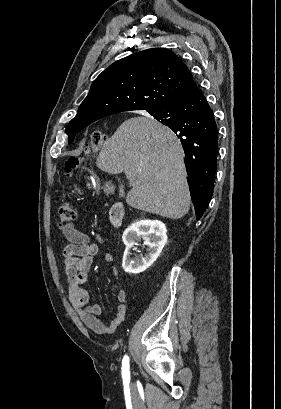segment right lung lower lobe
Here are the masks:
<instances>
[{"label": "right lung lower lobe", "instance_id": "98d812e1", "mask_svg": "<svg viewBox=\"0 0 281 409\" xmlns=\"http://www.w3.org/2000/svg\"><path fill=\"white\" fill-rule=\"evenodd\" d=\"M149 113L155 119H169L165 125L180 138L186 156L191 199L199 220L209 205L214 186L218 129L213 112L197 88L188 97Z\"/></svg>", "mask_w": 281, "mask_h": 409}]
</instances>
